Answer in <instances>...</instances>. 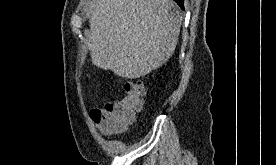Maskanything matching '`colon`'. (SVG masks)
Here are the masks:
<instances>
[{"label":"colon","instance_id":"obj_1","mask_svg":"<svg viewBox=\"0 0 276 165\" xmlns=\"http://www.w3.org/2000/svg\"><path fill=\"white\" fill-rule=\"evenodd\" d=\"M145 90L141 82L129 81L125 84L124 95L107 102L101 113L94 114V119L107 121L108 132L123 130L130 124L137 112L143 107ZM95 123V121H94Z\"/></svg>","mask_w":276,"mask_h":165}]
</instances>
